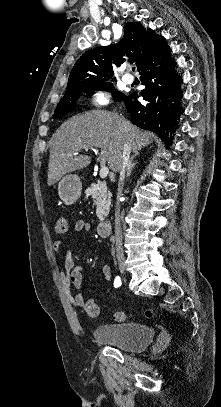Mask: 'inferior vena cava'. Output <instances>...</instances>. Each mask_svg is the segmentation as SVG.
Here are the masks:
<instances>
[{
	"label": "inferior vena cava",
	"instance_id": "obj_1",
	"mask_svg": "<svg viewBox=\"0 0 221 407\" xmlns=\"http://www.w3.org/2000/svg\"><path fill=\"white\" fill-rule=\"evenodd\" d=\"M130 152H131V149H130L129 143H125L121 157H120L119 165H118V172L120 173L118 195H121L122 184H123V181L125 178ZM115 246H116L117 260H118V262H123L124 253H123V246H122V229H121V221H120L119 203H117L116 210H115Z\"/></svg>",
	"mask_w": 221,
	"mask_h": 407
}]
</instances>
